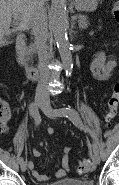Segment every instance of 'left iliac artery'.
Listing matches in <instances>:
<instances>
[{
  "label": "left iliac artery",
  "mask_w": 119,
  "mask_h": 185,
  "mask_svg": "<svg viewBox=\"0 0 119 185\" xmlns=\"http://www.w3.org/2000/svg\"><path fill=\"white\" fill-rule=\"evenodd\" d=\"M64 116H66L69 120L73 122L75 126L84 130V132H88V128L83 124L81 117L79 116L78 112L73 108L67 107L61 109ZM93 151L98 152L97 146L93 144Z\"/></svg>",
  "instance_id": "obj_1"
}]
</instances>
